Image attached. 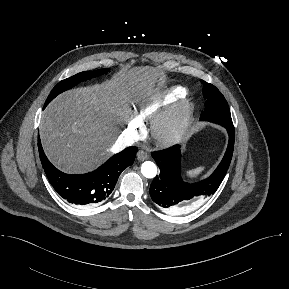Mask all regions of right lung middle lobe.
I'll return each mask as SVG.
<instances>
[{"label": "right lung middle lobe", "instance_id": "right-lung-middle-lobe-1", "mask_svg": "<svg viewBox=\"0 0 289 289\" xmlns=\"http://www.w3.org/2000/svg\"><path fill=\"white\" fill-rule=\"evenodd\" d=\"M106 72H108V69H102V70H96V71H85V72L78 73V74H76L70 78L65 79V80H62L52 89L51 93L49 94V96L45 102L44 107H46L48 105V103L52 99H54L58 94H60L61 92L72 88L73 86L77 85L81 81H86V80L91 79L93 77L100 76L102 74H105Z\"/></svg>", "mask_w": 289, "mask_h": 289}]
</instances>
